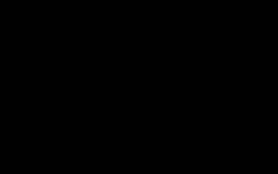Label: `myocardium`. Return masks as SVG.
<instances>
[{"label": "myocardium", "mask_w": 278, "mask_h": 174, "mask_svg": "<svg viewBox=\"0 0 278 174\" xmlns=\"http://www.w3.org/2000/svg\"><path fill=\"white\" fill-rule=\"evenodd\" d=\"M182 67H183V62H182V66H181V69H180V72L178 73V75L173 79V81H171L167 86H171L173 85L179 78L180 74H181V71H182Z\"/></svg>", "instance_id": "obj_1"}]
</instances>
